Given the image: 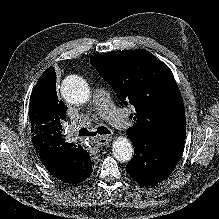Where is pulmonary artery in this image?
Returning <instances> with one entry per match:
<instances>
[{
  "instance_id": "e3ab8cb5",
  "label": "pulmonary artery",
  "mask_w": 219,
  "mask_h": 219,
  "mask_svg": "<svg viewBox=\"0 0 219 219\" xmlns=\"http://www.w3.org/2000/svg\"><path fill=\"white\" fill-rule=\"evenodd\" d=\"M93 102L101 116L112 125L119 129H126L129 126L126 114L113 104L109 93L103 87L95 88ZM83 119H88V115H84Z\"/></svg>"
}]
</instances>
